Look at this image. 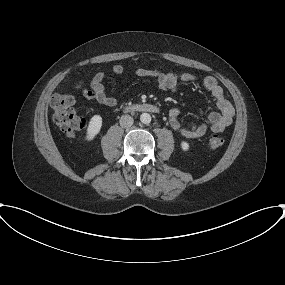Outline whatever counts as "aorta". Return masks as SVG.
I'll return each instance as SVG.
<instances>
[{"instance_id": "762f6f07", "label": "aorta", "mask_w": 285, "mask_h": 285, "mask_svg": "<svg viewBox=\"0 0 285 285\" xmlns=\"http://www.w3.org/2000/svg\"><path fill=\"white\" fill-rule=\"evenodd\" d=\"M140 121L143 124H149L151 122V115L149 113H142L140 115Z\"/></svg>"}]
</instances>
